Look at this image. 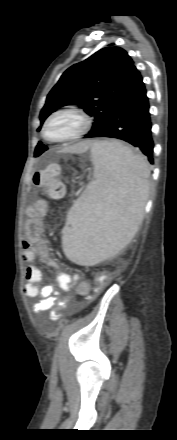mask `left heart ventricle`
Masks as SVG:
<instances>
[{
  "instance_id": "left-heart-ventricle-1",
  "label": "left heart ventricle",
  "mask_w": 177,
  "mask_h": 440,
  "mask_svg": "<svg viewBox=\"0 0 177 440\" xmlns=\"http://www.w3.org/2000/svg\"><path fill=\"white\" fill-rule=\"evenodd\" d=\"M79 126V121L70 115H60L53 119L47 128L50 138L56 139L69 135Z\"/></svg>"
}]
</instances>
